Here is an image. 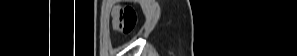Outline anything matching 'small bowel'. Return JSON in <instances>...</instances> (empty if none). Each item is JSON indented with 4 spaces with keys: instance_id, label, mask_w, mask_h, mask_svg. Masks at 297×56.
Masks as SVG:
<instances>
[{
    "instance_id": "small-bowel-1",
    "label": "small bowel",
    "mask_w": 297,
    "mask_h": 56,
    "mask_svg": "<svg viewBox=\"0 0 297 56\" xmlns=\"http://www.w3.org/2000/svg\"><path fill=\"white\" fill-rule=\"evenodd\" d=\"M117 12L113 13V28L116 30Z\"/></svg>"
}]
</instances>
